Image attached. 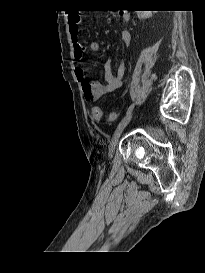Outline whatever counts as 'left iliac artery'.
Segmentation results:
<instances>
[{
	"label": "left iliac artery",
	"mask_w": 205,
	"mask_h": 273,
	"mask_svg": "<svg viewBox=\"0 0 205 273\" xmlns=\"http://www.w3.org/2000/svg\"><path fill=\"white\" fill-rule=\"evenodd\" d=\"M133 108H134V103L129 106V108L127 109L126 115L131 113Z\"/></svg>",
	"instance_id": "1"
}]
</instances>
